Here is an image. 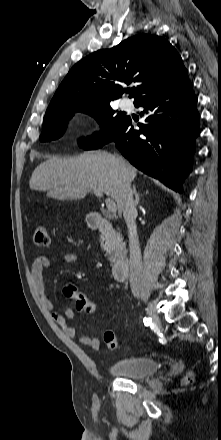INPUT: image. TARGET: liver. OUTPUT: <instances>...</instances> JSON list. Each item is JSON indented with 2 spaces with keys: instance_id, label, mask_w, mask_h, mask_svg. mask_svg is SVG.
<instances>
[{
  "instance_id": "obj_1",
  "label": "liver",
  "mask_w": 221,
  "mask_h": 440,
  "mask_svg": "<svg viewBox=\"0 0 221 440\" xmlns=\"http://www.w3.org/2000/svg\"><path fill=\"white\" fill-rule=\"evenodd\" d=\"M123 161L124 167L106 151L85 152L70 159L50 158L34 170L29 186L62 201L80 200L90 191H100L116 201L121 215L124 184L137 175V170Z\"/></svg>"
}]
</instances>
